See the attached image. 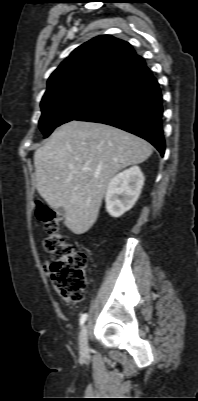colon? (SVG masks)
<instances>
[{"instance_id": "obj_1", "label": "colon", "mask_w": 198, "mask_h": 401, "mask_svg": "<svg viewBox=\"0 0 198 401\" xmlns=\"http://www.w3.org/2000/svg\"><path fill=\"white\" fill-rule=\"evenodd\" d=\"M36 217L47 233L44 248L53 259L50 268L53 287L66 302L82 301L87 285L85 254L76 250L60 233V216L53 209L38 203Z\"/></svg>"}]
</instances>
